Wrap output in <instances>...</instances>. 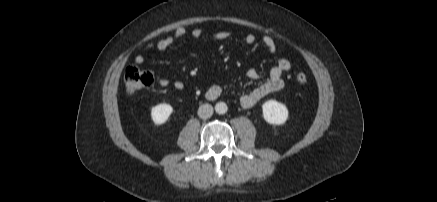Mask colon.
Returning a JSON list of instances; mask_svg holds the SVG:
<instances>
[{"mask_svg": "<svg viewBox=\"0 0 437 202\" xmlns=\"http://www.w3.org/2000/svg\"><path fill=\"white\" fill-rule=\"evenodd\" d=\"M296 80L304 84L308 78L306 74L300 72L296 75ZM124 82L127 94L135 95L142 90L150 88L154 83V77L150 71L131 65L125 70Z\"/></svg>", "mask_w": 437, "mask_h": 202, "instance_id": "colon-1", "label": "colon"}]
</instances>
